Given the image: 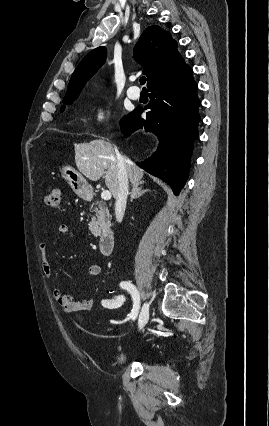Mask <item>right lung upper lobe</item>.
Wrapping results in <instances>:
<instances>
[{"label":"right lung upper lobe","instance_id":"right-lung-upper-lobe-1","mask_svg":"<svg viewBox=\"0 0 269 426\" xmlns=\"http://www.w3.org/2000/svg\"><path fill=\"white\" fill-rule=\"evenodd\" d=\"M134 57L144 67L148 87L186 66L177 51L176 41L159 26H150L144 30L134 48ZM105 58L106 48L103 46L90 51L72 74L64 99L78 97L85 83L103 65Z\"/></svg>","mask_w":269,"mask_h":426}]
</instances>
